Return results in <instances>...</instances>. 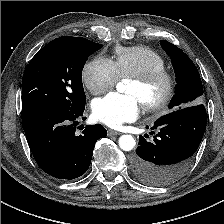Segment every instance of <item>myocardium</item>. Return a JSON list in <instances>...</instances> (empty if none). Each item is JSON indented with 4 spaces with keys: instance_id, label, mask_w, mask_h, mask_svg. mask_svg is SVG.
<instances>
[{
    "instance_id": "obj_1",
    "label": "myocardium",
    "mask_w": 224,
    "mask_h": 224,
    "mask_svg": "<svg viewBox=\"0 0 224 224\" xmlns=\"http://www.w3.org/2000/svg\"><path fill=\"white\" fill-rule=\"evenodd\" d=\"M133 81L144 87H150L157 82H163L164 89L157 98L148 99L143 102L146 111H159L164 109L172 101L176 92V77L166 68L149 71L145 74L131 77Z\"/></svg>"
}]
</instances>
